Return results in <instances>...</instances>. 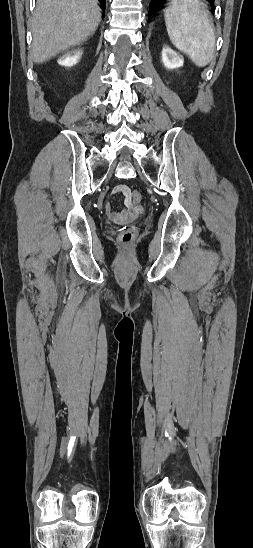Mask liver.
<instances>
[{
  "label": "liver",
  "instance_id": "liver-1",
  "mask_svg": "<svg viewBox=\"0 0 253 548\" xmlns=\"http://www.w3.org/2000/svg\"><path fill=\"white\" fill-rule=\"evenodd\" d=\"M101 21L97 0H37L31 58L43 63L93 35Z\"/></svg>",
  "mask_w": 253,
  "mask_h": 548
}]
</instances>
